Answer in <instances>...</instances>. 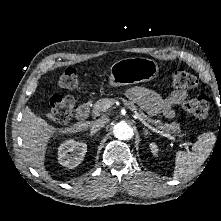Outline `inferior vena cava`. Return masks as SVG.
Returning <instances> with one entry per match:
<instances>
[{
	"mask_svg": "<svg viewBox=\"0 0 221 221\" xmlns=\"http://www.w3.org/2000/svg\"><path fill=\"white\" fill-rule=\"evenodd\" d=\"M105 122L98 119L96 121H93V124L91 126V133H96L100 128L104 127Z\"/></svg>",
	"mask_w": 221,
	"mask_h": 221,
	"instance_id": "obj_1",
	"label": "inferior vena cava"
}]
</instances>
